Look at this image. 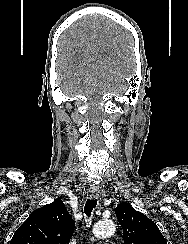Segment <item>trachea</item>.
I'll return each instance as SVG.
<instances>
[{"label": "trachea", "mask_w": 188, "mask_h": 244, "mask_svg": "<svg viewBox=\"0 0 188 244\" xmlns=\"http://www.w3.org/2000/svg\"><path fill=\"white\" fill-rule=\"evenodd\" d=\"M96 205H97V199H88L86 201V204L84 207V212L87 217L91 216V213H92L93 209L96 207Z\"/></svg>", "instance_id": "trachea-1"}]
</instances>
